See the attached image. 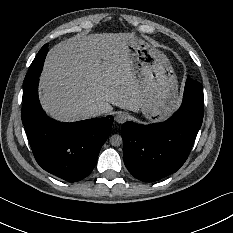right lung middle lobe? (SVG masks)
<instances>
[{
    "label": "right lung middle lobe",
    "instance_id": "right-lung-middle-lobe-1",
    "mask_svg": "<svg viewBox=\"0 0 233 233\" xmlns=\"http://www.w3.org/2000/svg\"><path fill=\"white\" fill-rule=\"evenodd\" d=\"M47 47V44L44 46ZM43 48L39 51V53L36 55L35 59L33 60L30 69L25 77L24 80V88L28 86L30 83H32L41 73L42 71V61H41V53Z\"/></svg>",
    "mask_w": 233,
    "mask_h": 233
}]
</instances>
